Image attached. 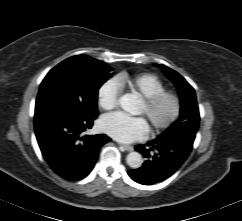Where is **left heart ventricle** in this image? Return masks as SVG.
I'll return each mask as SVG.
<instances>
[{"instance_id":"1","label":"left heart ventricle","mask_w":242,"mask_h":221,"mask_svg":"<svg viewBox=\"0 0 242 221\" xmlns=\"http://www.w3.org/2000/svg\"><path fill=\"white\" fill-rule=\"evenodd\" d=\"M171 110V104L169 101H163L161 104H159L149 116L145 114V108L143 103H141L139 114H142L146 117V119L149 121H161L165 119Z\"/></svg>"}]
</instances>
